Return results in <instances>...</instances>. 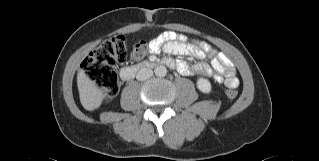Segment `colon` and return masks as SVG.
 <instances>
[{
  "instance_id": "5ec220e1",
  "label": "colon",
  "mask_w": 319,
  "mask_h": 161,
  "mask_svg": "<svg viewBox=\"0 0 319 161\" xmlns=\"http://www.w3.org/2000/svg\"><path fill=\"white\" fill-rule=\"evenodd\" d=\"M147 43L140 41L134 44L131 59L139 62L147 54ZM127 58V44L124 37L115 36L104 41L101 46L90 52L84 62V71L88 79L101 90L105 99L114 97L119 90L116 64ZM225 94L229 98L237 96L234 84L226 87Z\"/></svg>"
}]
</instances>
